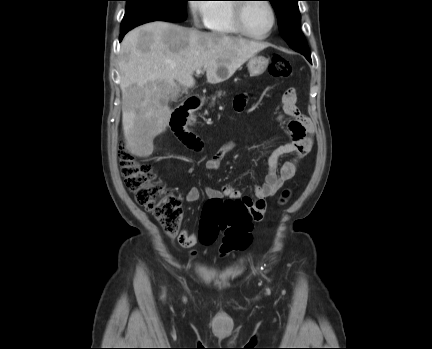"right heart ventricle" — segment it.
Wrapping results in <instances>:
<instances>
[{
  "mask_svg": "<svg viewBox=\"0 0 432 349\" xmlns=\"http://www.w3.org/2000/svg\"><path fill=\"white\" fill-rule=\"evenodd\" d=\"M225 1L232 0H214L209 4V11L205 19V26L211 33L216 35H239V32L236 30L232 19L234 4L227 3Z\"/></svg>",
  "mask_w": 432,
  "mask_h": 349,
  "instance_id": "e07e8e85",
  "label": "right heart ventricle"
}]
</instances>
